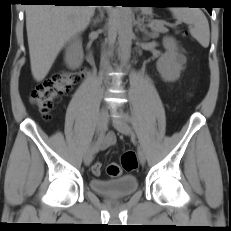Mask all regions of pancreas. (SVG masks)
<instances>
[{"label":"pancreas","instance_id":"pancreas-1","mask_svg":"<svg viewBox=\"0 0 231 231\" xmlns=\"http://www.w3.org/2000/svg\"><path fill=\"white\" fill-rule=\"evenodd\" d=\"M166 22L164 21H158V20H152L150 21V28L155 32L165 33L168 31V29L164 26Z\"/></svg>","mask_w":231,"mask_h":231}]
</instances>
